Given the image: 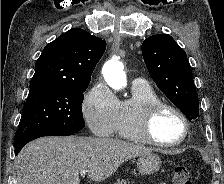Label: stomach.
<instances>
[{
  "label": "stomach",
  "mask_w": 224,
  "mask_h": 184,
  "mask_svg": "<svg viewBox=\"0 0 224 184\" xmlns=\"http://www.w3.org/2000/svg\"><path fill=\"white\" fill-rule=\"evenodd\" d=\"M161 159L157 154L148 153L141 155L137 159V169L141 175L156 173L161 167Z\"/></svg>",
  "instance_id": "obj_1"
}]
</instances>
